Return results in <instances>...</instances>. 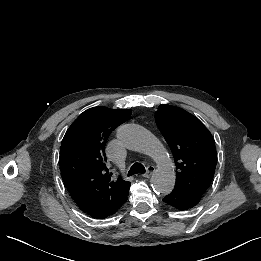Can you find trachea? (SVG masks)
Listing matches in <instances>:
<instances>
[{
    "label": "trachea",
    "instance_id": "trachea-1",
    "mask_svg": "<svg viewBox=\"0 0 261 261\" xmlns=\"http://www.w3.org/2000/svg\"><path fill=\"white\" fill-rule=\"evenodd\" d=\"M138 173H145V167L141 163L136 162L131 166L128 172V176H132Z\"/></svg>",
    "mask_w": 261,
    "mask_h": 261
}]
</instances>
